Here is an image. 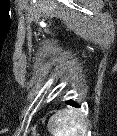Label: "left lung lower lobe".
I'll use <instances>...</instances> for the list:
<instances>
[{
    "mask_svg": "<svg viewBox=\"0 0 117 136\" xmlns=\"http://www.w3.org/2000/svg\"><path fill=\"white\" fill-rule=\"evenodd\" d=\"M66 103L73 106V107H78L77 103L74 102L73 100H68V101H66Z\"/></svg>",
    "mask_w": 117,
    "mask_h": 136,
    "instance_id": "0a47b994",
    "label": "left lung lower lobe"
}]
</instances>
